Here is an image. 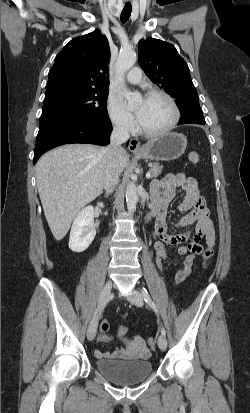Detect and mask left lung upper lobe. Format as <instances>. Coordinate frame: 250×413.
<instances>
[{
    "instance_id": "left-lung-upper-lobe-1",
    "label": "left lung upper lobe",
    "mask_w": 250,
    "mask_h": 413,
    "mask_svg": "<svg viewBox=\"0 0 250 413\" xmlns=\"http://www.w3.org/2000/svg\"><path fill=\"white\" fill-rule=\"evenodd\" d=\"M138 52L140 67L153 83L175 98L181 114L203 113L189 67L172 44L148 38L139 41Z\"/></svg>"
}]
</instances>
